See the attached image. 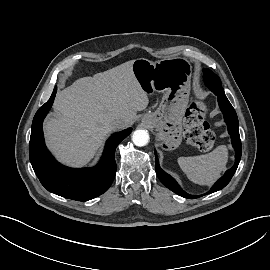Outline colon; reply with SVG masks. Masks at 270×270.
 I'll use <instances>...</instances> for the list:
<instances>
[{
  "label": "colon",
  "instance_id": "obj_1",
  "mask_svg": "<svg viewBox=\"0 0 270 270\" xmlns=\"http://www.w3.org/2000/svg\"><path fill=\"white\" fill-rule=\"evenodd\" d=\"M206 113V105L197 102L189 106L184 118L186 139L202 151L210 150L215 142V134L205 122Z\"/></svg>",
  "mask_w": 270,
  "mask_h": 270
}]
</instances>
